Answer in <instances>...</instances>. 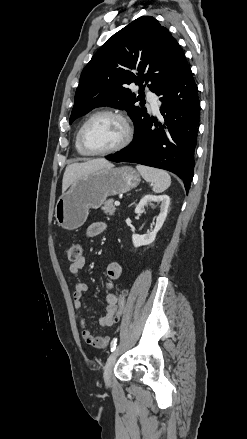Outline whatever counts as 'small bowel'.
<instances>
[{
  "label": "small bowel",
  "instance_id": "obj_1",
  "mask_svg": "<svg viewBox=\"0 0 247 439\" xmlns=\"http://www.w3.org/2000/svg\"><path fill=\"white\" fill-rule=\"evenodd\" d=\"M107 228L106 223L102 221L94 222L89 225L87 228L86 234L90 238H95L101 235ZM86 264V258L84 256H81L77 261H74L70 267V273L73 275H78L79 272L82 270V268ZM107 276L109 278V282L107 284V289L110 290L113 287V281L117 280L121 275V266L117 262H111L107 266ZM87 290V285L84 282H78L75 285L74 291H73V304L76 309H81L82 307V297L85 291ZM117 296L112 293L108 292L105 295V302H106V309L105 313L99 318V324L102 327H110L114 324V314L115 309L117 305ZM80 324L82 327V338L84 341L95 347V348H105L107 347L109 343V337L108 336H94L87 328H86V322L83 317L80 318Z\"/></svg>",
  "mask_w": 247,
  "mask_h": 439
}]
</instances>
